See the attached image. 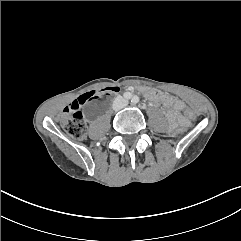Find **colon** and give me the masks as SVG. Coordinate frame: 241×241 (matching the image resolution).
<instances>
[{
  "instance_id": "obj_1",
  "label": "colon",
  "mask_w": 241,
  "mask_h": 241,
  "mask_svg": "<svg viewBox=\"0 0 241 241\" xmlns=\"http://www.w3.org/2000/svg\"><path fill=\"white\" fill-rule=\"evenodd\" d=\"M116 89L117 87H106L98 91H91L81 95L76 103L66 109L61 120L62 129L74 139H83L87 133V125L82 112L79 110V106L92 98L108 95ZM184 115L187 119L194 118V113L188 109L185 110ZM169 132L173 136H181L185 131L180 125L176 124L172 126Z\"/></svg>"
}]
</instances>
